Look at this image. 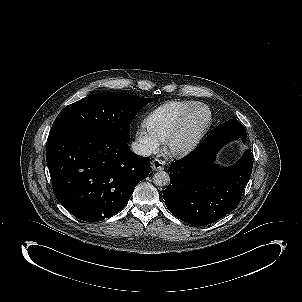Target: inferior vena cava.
<instances>
[{
    "instance_id": "obj_1",
    "label": "inferior vena cava",
    "mask_w": 302,
    "mask_h": 302,
    "mask_svg": "<svg viewBox=\"0 0 302 302\" xmlns=\"http://www.w3.org/2000/svg\"><path fill=\"white\" fill-rule=\"evenodd\" d=\"M131 150L140 156H150L152 154V151L149 147L139 142H133L131 144Z\"/></svg>"
}]
</instances>
